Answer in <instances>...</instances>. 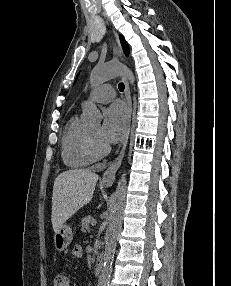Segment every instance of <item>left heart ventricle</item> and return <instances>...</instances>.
Returning a JSON list of instances; mask_svg holds the SVG:
<instances>
[{
  "mask_svg": "<svg viewBox=\"0 0 231 286\" xmlns=\"http://www.w3.org/2000/svg\"><path fill=\"white\" fill-rule=\"evenodd\" d=\"M93 140L100 146L104 145L99 138V127L94 126L87 129Z\"/></svg>",
  "mask_w": 231,
  "mask_h": 286,
  "instance_id": "b2bd125f",
  "label": "left heart ventricle"
}]
</instances>
